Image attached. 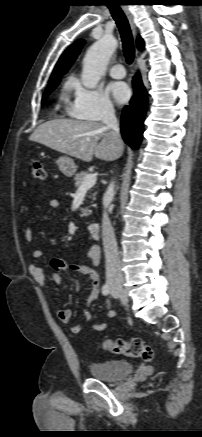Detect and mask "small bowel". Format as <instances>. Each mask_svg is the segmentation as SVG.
I'll list each match as a JSON object with an SVG mask.
<instances>
[{"label":"small bowel","mask_w":202,"mask_h":437,"mask_svg":"<svg viewBox=\"0 0 202 437\" xmlns=\"http://www.w3.org/2000/svg\"><path fill=\"white\" fill-rule=\"evenodd\" d=\"M49 207L53 210H56L60 207V202L57 199H51L49 201ZM25 238L28 242H31L33 239V230L30 225L27 226L25 230ZM32 256L34 259H39L43 256V252L39 249H35L32 252ZM87 263H70L61 259L52 258L49 260V269L52 275V280L55 284L59 285L63 281V272L65 271H75L83 274L89 275L92 289L91 293L87 298V307L82 311V317L90 322L92 319L91 312L89 307L95 302L100 293V282L97 271L95 270V266L99 261V252L95 247L89 249L87 253ZM29 274L31 277L41 286H45L46 277L42 267L33 263L28 268ZM106 314L108 318H114L116 313L110 307L109 303H106ZM58 319L65 323L69 324L72 320V312L68 308H60L57 310ZM107 324L105 323H94L92 324V329L98 332H102L106 330ZM73 333H79L81 331V325L79 323L74 324L70 327Z\"/></svg>","instance_id":"c3829d8e"}]
</instances>
